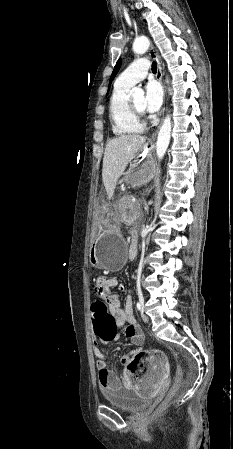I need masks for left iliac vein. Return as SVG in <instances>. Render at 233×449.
<instances>
[{"label":"left iliac vein","instance_id":"obj_1","mask_svg":"<svg viewBox=\"0 0 233 449\" xmlns=\"http://www.w3.org/2000/svg\"><path fill=\"white\" fill-rule=\"evenodd\" d=\"M143 307V306H142ZM141 318L145 323L149 322V318L146 314H144L143 312L141 313Z\"/></svg>","mask_w":233,"mask_h":449}]
</instances>
